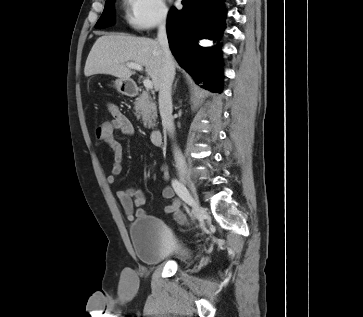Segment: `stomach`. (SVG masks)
Instances as JSON below:
<instances>
[{"label":"stomach","instance_id":"stomach-1","mask_svg":"<svg viewBox=\"0 0 363 317\" xmlns=\"http://www.w3.org/2000/svg\"><path fill=\"white\" fill-rule=\"evenodd\" d=\"M114 87L119 93L128 94L130 91V81L125 79H116L114 81Z\"/></svg>","mask_w":363,"mask_h":317}]
</instances>
